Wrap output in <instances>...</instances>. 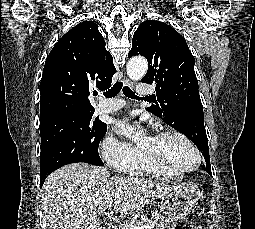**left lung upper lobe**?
I'll return each mask as SVG.
<instances>
[{
  "label": "left lung upper lobe",
  "mask_w": 255,
  "mask_h": 229,
  "mask_svg": "<svg viewBox=\"0 0 255 229\" xmlns=\"http://www.w3.org/2000/svg\"><path fill=\"white\" fill-rule=\"evenodd\" d=\"M144 56L149 64L143 83H155L156 98L147 110L189 137L209 157L206 131L197 129L192 113L202 109L195 59L185 39L166 23L146 20L135 31L128 57Z\"/></svg>",
  "instance_id": "obj_1"
}]
</instances>
